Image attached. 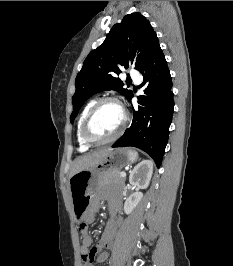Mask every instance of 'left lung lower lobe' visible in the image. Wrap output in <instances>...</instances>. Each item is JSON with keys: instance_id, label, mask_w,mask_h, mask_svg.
<instances>
[{"instance_id": "obj_1", "label": "left lung lower lobe", "mask_w": 233, "mask_h": 266, "mask_svg": "<svg viewBox=\"0 0 233 266\" xmlns=\"http://www.w3.org/2000/svg\"><path fill=\"white\" fill-rule=\"evenodd\" d=\"M139 71L143 75L146 96L138 97V110L132 124L112 147L133 146L148 153L160 166L168 141L174 110L172 80L166 59L157 45ZM129 97V101L132 99Z\"/></svg>"}]
</instances>
